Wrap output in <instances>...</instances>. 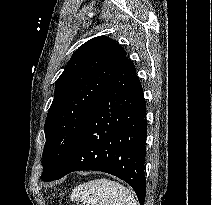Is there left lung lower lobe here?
<instances>
[{
  "label": "left lung lower lobe",
  "instance_id": "left-lung-lower-lobe-1",
  "mask_svg": "<svg viewBox=\"0 0 212 205\" xmlns=\"http://www.w3.org/2000/svg\"><path fill=\"white\" fill-rule=\"evenodd\" d=\"M146 105L136 69L125 56L108 88L87 116L55 180L78 170L102 171L132 186L144 205Z\"/></svg>",
  "mask_w": 212,
  "mask_h": 205
}]
</instances>
